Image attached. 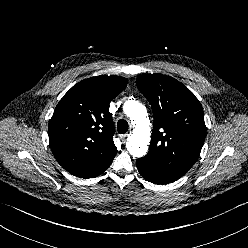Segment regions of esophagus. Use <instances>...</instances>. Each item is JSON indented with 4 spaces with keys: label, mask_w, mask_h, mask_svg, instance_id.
Masks as SVG:
<instances>
[{
    "label": "esophagus",
    "mask_w": 248,
    "mask_h": 248,
    "mask_svg": "<svg viewBox=\"0 0 248 248\" xmlns=\"http://www.w3.org/2000/svg\"><path fill=\"white\" fill-rule=\"evenodd\" d=\"M127 136H128L127 133L126 134H122V135H120V139L121 140H125L127 138Z\"/></svg>",
    "instance_id": "obj_1"
}]
</instances>
